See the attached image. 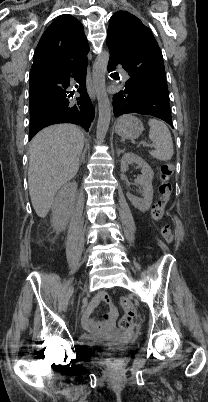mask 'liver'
Segmentation results:
<instances>
[{"label": "liver", "instance_id": "1", "mask_svg": "<svg viewBox=\"0 0 208 402\" xmlns=\"http://www.w3.org/2000/svg\"><path fill=\"white\" fill-rule=\"evenodd\" d=\"M83 146L84 134L73 124L50 126L31 140L28 186L39 218H46L56 192L76 176Z\"/></svg>", "mask_w": 208, "mask_h": 402}]
</instances>
